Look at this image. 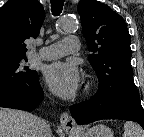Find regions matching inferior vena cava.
I'll list each match as a JSON object with an SVG mask.
<instances>
[{"mask_svg":"<svg viewBox=\"0 0 144 137\" xmlns=\"http://www.w3.org/2000/svg\"><path fill=\"white\" fill-rule=\"evenodd\" d=\"M41 137H51V130L48 124L44 122L41 128Z\"/></svg>","mask_w":144,"mask_h":137,"instance_id":"602c4592","label":"inferior vena cava"}]
</instances>
